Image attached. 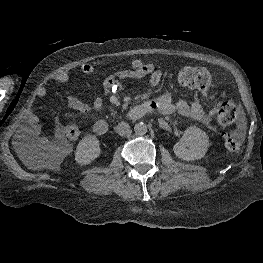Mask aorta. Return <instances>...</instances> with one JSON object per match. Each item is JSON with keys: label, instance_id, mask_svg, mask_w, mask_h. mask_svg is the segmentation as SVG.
<instances>
[{"label": "aorta", "instance_id": "1", "mask_svg": "<svg viewBox=\"0 0 263 263\" xmlns=\"http://www.w3.org/2000/svg\"><path fill=\"white\" fill-rule=\"evenodd\" d=\"M147 124H145L144 122H138L135 124L134 126V131L137 135H144L147 133Z\"/></svg>", "mask_w": 263, "mask_h": 263}]
</instances>
